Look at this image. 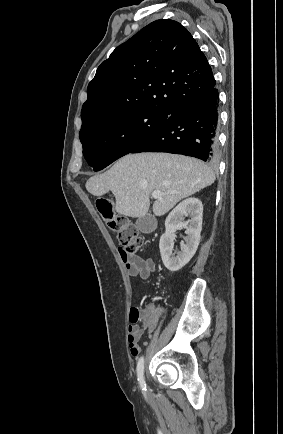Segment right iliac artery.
<instances>
[{
    "mask_svg": "<svg viewBox=\"0 0 283 434\" xmlns=\"http://www.w3.org/2000/svg\"><path fill=\"white\" fill-rule=\"evenodd\" d=\"M137 377L139 385L143 392L146 391V383L144 379V358L140 357L137 364Z\"/></svg>",
    "mask_w": 283,
    "mask_h": 434,
    "instance_id": "82829eb1",
    "label": "right iliac artery"
}]
</instances>
